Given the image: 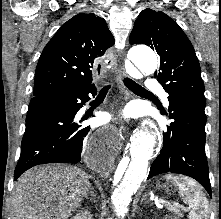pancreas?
I'll list each match as a JSON object with an SVG mask.
<instances>
[{
  "label": "pancreas",
  "mask_w": 221,
  "mask_h": 219,
  "mask_svg": "<svg viewBox=\"0 0 221 219\" xmlns=\"http://www.w3.org/2000/svg\"><path fill=\"white\" fill-rule=\"evenodd\" d=\"M167 209H168L170 212H173V213L177 214L179 217H182V216H183L182 212H180V210L177 209V208H175V207L168 206Z\"/></svg>",
  "instance_id": "cf45deb5"
}]
</instances>
